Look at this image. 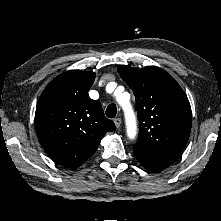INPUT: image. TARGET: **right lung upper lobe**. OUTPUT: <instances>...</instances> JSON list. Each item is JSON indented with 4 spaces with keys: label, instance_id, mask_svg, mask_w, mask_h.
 <instances>
[{
    "label": "right lung upper lobe",
    "instance_id": "cb5924a9",
    "mask_svg": "<svg viewBox=\"0 0 221 221\" xmlns=\"http://www.w3.org/2000/svg\"><path fill=\"white\" fill-rule=\"evenodd\" d=\"M95 73L70 70L54 78L41 94L35 130L46 153L58 164L81 166L92 156L115 124L104 115L101 103L88 90Z\"/></svg>",
    "mask_w": 221,
    "mask_h": 221
}]
</instances>
